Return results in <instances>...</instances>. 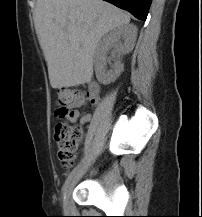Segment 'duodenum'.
<instances>
[{
  "label": "duodenum",
  "mask_w": 202,
  "mask_h": 217,
  "mask_svg": "<svg viewBox=\"0 0 202 217\" xmlns=\"http://www.w3.org/2000/svg\"><path fill=\"white\" fill-rule=\"evenodd\" d=\"M89 92L90 93H98L99 92V86H98V84L95 83V82L90 83Z\"/></svg>",
  "instance_id": "410a0bca"
}]
</instances>
